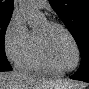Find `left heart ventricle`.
<instances>
[{"instance_id":"obj_1","label":"left heart ventricle","mask_w":89,"mask_h":89,"mask_svg":"<svg viewBox=\"0 0 89 89\" xmlns=\"http://www.w3.org/2000/svg\"><path fill=\"white\" fill-rule=\"evenodd\" d=\"M36 32L45 38L52 64L56 69L65 70L73 67L76 51L72 41L62 29H49L46 22H43Z\"/></svg>"}]
</instances>
